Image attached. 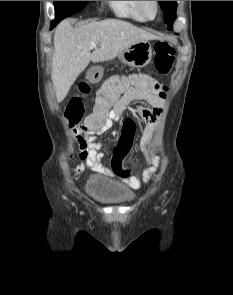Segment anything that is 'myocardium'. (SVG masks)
Segmentation results:
<instances>
[{"label": "myocardium", "instance_id": "f54148a6", "mask_svg": "<svg viewBox=\"0 0 233 295\" xmlns=\"http://www.w3.org/2000/svg\"><path fill=\"white\" fill-rule=\"evenodd\" d=\"M143 3H144L143 1H136L138 11L140 12V14L143 16V18L145 20H154L158 16V13H159V1H153L154 5H155V14L152 17L148 16L145 13Z\"/></svg>", "mask_w": 233, "mask_h": 295}]
</instances>
